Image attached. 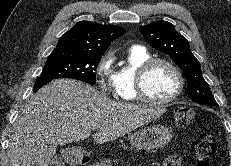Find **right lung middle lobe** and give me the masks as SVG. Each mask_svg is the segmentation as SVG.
<instances>
[{
	"label": "right lung middle lobe",
	"instance_id": "1",
	"mask_svg": "<svg viewBox=\"0 0 231 166\" xmlns=\"http://www.w3.org/2000/svg\"><path fill=\"white\" fill-rule=\"evenodd\" d=\"M102 55L76 52L68 49L54 50L48 57L40 77L72 78L95 84V71Z\"/></svg>",
	"mask_w": 231,
	"mask_h": 166
}]
</instances>
